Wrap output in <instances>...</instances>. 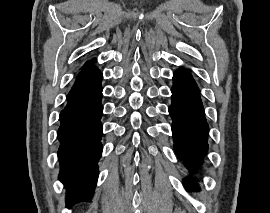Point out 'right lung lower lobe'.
I'll list each match as a JSON object with an SVG mask.
<instances>
[{"mask_svg":"<svg viewBox=\"0 0 270 213\" xmlns=\"http://www.w3.org/2000/svg\"><path fill=\"white\" fill-rule=\"evenodd\" d=\"M102 78L95 66L80 71L60 113L59 179L67 187V207L90 201L97 183L103 132Z\"/></svg>","mask_w":270,"mask_h":213,"instance_id":"right-lung-lower-lobe-1","label":"right lung lower lobe"}]
</instances>
